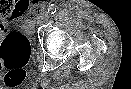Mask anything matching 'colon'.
I'll use <instances>...</instances> for the list:
<instances>
[{"label": "colon", "mask_w": 131, "mask_h": 89, "mask_svg": "<svg viewBox=\"0 0 131 89\" xmlns=\"http://www.w3.org/2000/svg\"><path fill=\"white\" fill-rule=\"evenodd\" d=\"M1 4L2 2H0V16L1 12H12L11 3H8L6 11L1 9ZM24 21L28 22L29 18ZM30 54V41L23 33L12 31L4 35L0 42V74L4 73L3 82L6 86L16 87L23 82L26 74L24 67L29 60Z\"/></svg>", "instance_id": "5ec220e1"}]
</instances>
